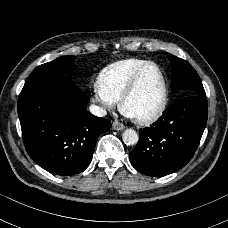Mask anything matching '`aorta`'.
<instances>
[{"mask_svg": "<svg viewBox=\"0 0 228 228\" xmlns=\"http://www.w3.org/2000/svg\"><path fill=\"white\" fill-rule=\"evenodd\" d=\"M122 139H123V142L126 145L134 146V145H136L138 143L139 136L134 130L127 129V130L124 131Z\"/></svg>", "mask_w": 228, "mask_h": 228, "instance_id": "1", "label": "aorta"}]
</instances>
